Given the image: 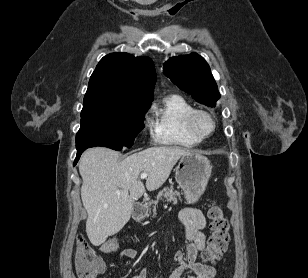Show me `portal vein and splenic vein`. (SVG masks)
Instances as JSON below:
<instances>
[{
    "instance_id": "18ae733b",
    "label": "portal vein and splenic vein",
    "mask_w": 308,
    "mask_h": 278,
    "mask_svg": "<svg viewBox=\"0 0 308 278\" xmlns=\"http://www.w3.org/2000/svg\"><path fill=\"white\" fill-rule=\"evenodd\" d=\"M147 176H148L147 173H141V174H140V178H141V179H145V178H147ZM116 193H117V194H120L121 191H120V190H117Z\"/></svg>"
}]
</instances>
